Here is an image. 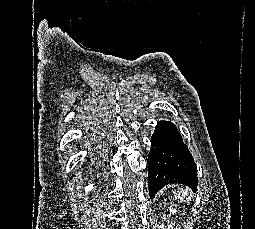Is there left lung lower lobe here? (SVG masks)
Listing matches in <instances>:
<instances>
[{
	"label": "left lung lower lobe",
	"mask_w": 255,
	"mask_h": 229,
	"mask_svg": "<svg viewBox=\"0 0 255 229\" xmlns=\"http://www.w3.org/2000/svg\"><path fill=\"white\" fill-rule=\"evenodd\" d=\"M150 197L165 185L183 184L197 190V168L188 147L170 121L157 123L151 137V150L147 160Z\"/></svg>",
	"instance_id": "left-lung-lower-lobe-1"
}]
</instances>
